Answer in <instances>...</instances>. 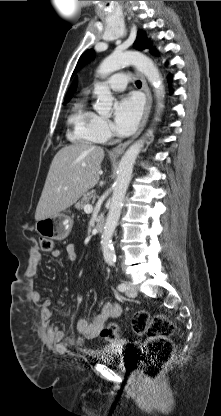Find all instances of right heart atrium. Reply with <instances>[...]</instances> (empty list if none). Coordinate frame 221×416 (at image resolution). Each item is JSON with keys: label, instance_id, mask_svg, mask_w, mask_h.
Returning a JSON list of instances; mask_svg holds the SVG:
<instances>
[{"label": "right heart atrium", "instance_id": "right-heart-atrium-1", "mask_svg": "<svg viewBox=\"0 0 221 416\" xmlns=\"http://www.w3.org/2000/svg\"><path fill=\"white\" fill-rule=\"evenodd\" d=\"M95 127L102 140H107L113 135L112 124L102 116H97Z\"/></svg>", "mask_w": 221, "mask_h": 416}]
</instances>
